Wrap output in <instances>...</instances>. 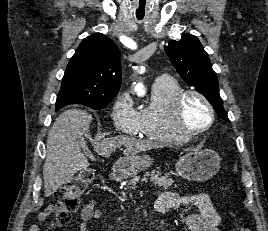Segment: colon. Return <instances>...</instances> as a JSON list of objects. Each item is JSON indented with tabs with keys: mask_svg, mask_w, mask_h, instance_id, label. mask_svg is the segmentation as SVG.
I'll return each instance as SVG.
<instances>
[{
	"mask_svg": "<svg viewBox=\"0 0 268 231\" xmlns=\"http://www.w3.org/2000/svg\"><path fill=\"white\" fill-rule=\"evenodd\" d=\"M94 171V168L82 170L56 191L54 195L55 203L49 205L44 216V220L51 216V220L47 225L48 231H52V228L56 225H63L70 220L72 214L79 207L80 199L86 192L93 178ZM237 230L252 231V226L244 224Z\"/></svg>",
	"mask_w": 268,
	"mask_h": 231,
	"instance_id": "obj_1",
	"label": "colon"
}]
</instances>
